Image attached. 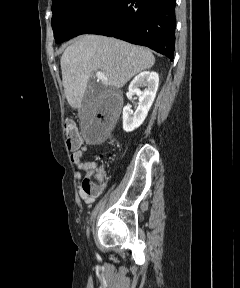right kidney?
Masks as SVG:
<instances>
[{
	"mask_svg": "<svg viewBox=\"0 0 240 288\" xmlns=\"http://www.w3.org/2000/svg\"><path fill=\"white\" fill-rule=\"evenodd\" d=\"M158 84V74L150 71L141 72L131 81L129 92L139 97V105L135 113L132 112L130 105L123 108V129L125 132H131L143 123L155 99ZM140 87L146 88L141 90Z\"/></svg>",
	"mask_w": 240,
	"mask_h": 288,
	"instance_id": "right-kidney-1",
	"label": "right kidney"
}]
</instances>
